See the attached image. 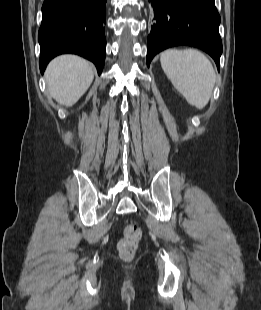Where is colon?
Wrapping results in <instances>:
<instances>
[{"instance_id": "1", "label": "colon", "mask_w": 261, "mask_h": 310, "mask_svg": "<svg viewBox=\"0 0 261 310\" xmlns=\"http://www.w3.org/2000/svg\"><path fill=\"white\" fill-rule=\"evenodd\" d=\"M142 236L140 227L136 223H128L123 230V237L118 243V253L123 260H131L139 246Z\"/></svg>"}]
</instances>
